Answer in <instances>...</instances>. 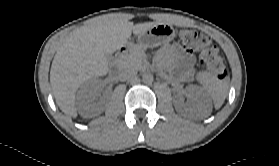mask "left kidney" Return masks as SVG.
<instances>
[{"instance_id": "left-kidney-1", "label": "left kidney", "mask_w": 279, "mask_h": 166, "mask_svg": "<svg viewBox=\"0 0 279 166\" xmlns=\"http://www.w3.org/2000/svg\"><path fill=\"white\" fill-rule=\"evenodd\" d=\"M187 97L190 105L193 108L201 109L208 105L209 101L204 90L196 85H190L187 87ZM174 106L177 112H186L189 108L184 103V95L178 94L174 96Z\"/></svg>"}]
</instances>
